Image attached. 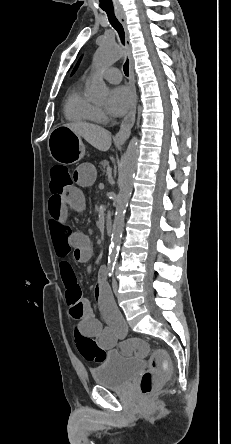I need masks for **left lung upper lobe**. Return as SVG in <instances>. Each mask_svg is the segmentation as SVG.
<instances>
[{
  "mask_svg": "<svg viewBox=\"0 0 231 444\" xmlns=\"http://www.w3.org/2000/svg\"><path fill=\"white\" fill-rule=\"evenodd\" d=\"M78 64H79V63H77V65H76V67L74 68L72 74L76 71V69H77V67H78Z\"/></svg>",
  "mask_w": 231,
  "mask_h": 444,
  "instance_id": "5c2ea615",
  "label": "left lung upper lobe"
}]
</instances>
